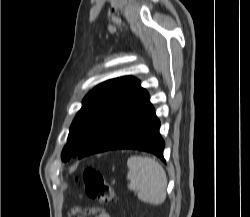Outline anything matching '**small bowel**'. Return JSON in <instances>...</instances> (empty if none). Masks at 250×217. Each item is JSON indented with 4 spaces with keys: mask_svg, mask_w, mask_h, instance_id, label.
<instances>
[{
    "mask_svg": "<svg viewBox=\"0 0 250 217\" xmlns=\"http://www.w3.org/2000/svg\"><path fill=\"white\" fill-rule=\"evenodd\" d=\"M95 217H111V216L105 212H100Z\"/></svg>",
    "mask_w": 250,
    "mask_h": 217,
    "instance_id": "1",
    "label": "small bowel"
}]
</instances>
